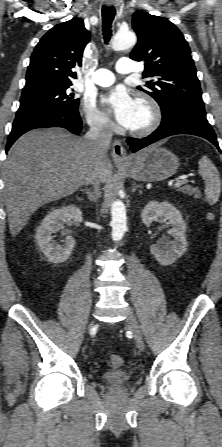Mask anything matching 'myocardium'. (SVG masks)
I'll return each mask as SVG.
<instances>
[{
    "instance_id": "f54148a6",
    "label": "myocardium",
    "mask_w": 222,
    "mask_h": 447,
    "mask_svg": "<svg viewBox=\"0 0 222 447\" xmlns=\"http://www.w3.org/2000/svg\"><path fill=\"white\" fill-rule=\"evenodd\" d=\"M136 103L143 105L148 111L147 122L139 127L128 128L127 131L133 136H146L155 131L162 120V111L158 103L149 95L142 94L137 97Z\"/></svg>"
}]
</instances>
